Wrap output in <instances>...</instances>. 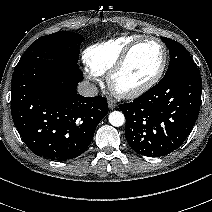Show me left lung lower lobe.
Wrapping results in <instances>:
<instances>
[{
	"instance_id": "1",
	"label": "left lung lower lobe",
	"mask_w": 212,
	"mask_h": 212,
	"mask_svg": "<svg viewBox=\"0 0 212 212\" xmlns=\"http://www.w3.org/2000/svg\"><path fill=\"white\" fill-rule=\"evenodd\" d=\"M201 92L196 68L159 82L133 102L121 104L130 147L150 157L165 156L180 147L198 118Z\"/></svg>"
}]
</instances>
